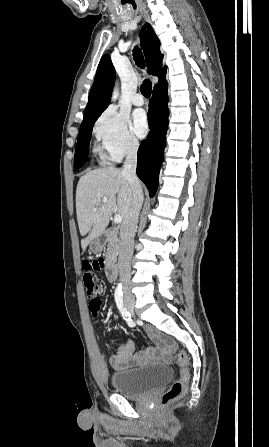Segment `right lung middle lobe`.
<instances>
[{
	"label": "right lung middle lobe",
	"instance_id": "dd1d6c3e",
	"mask_svg": "<svg viewBox=\"0 0 269 447\" xmlns=\"http://www.w3.org/2000/svg\"><path fill=\"white\" fill-rule=\"evenodd\" d=\"M95 122L84 125L80 128L74 163L76 168H80L87 161V149L89 147L91 132Z\"/></svg>",
	"mask_w": 269,
	"mask_h": 447
}]
</instances>
